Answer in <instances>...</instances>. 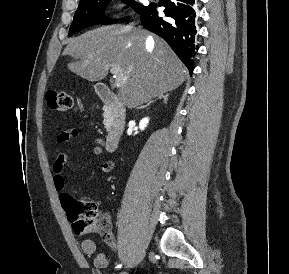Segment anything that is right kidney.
<instances>
[{"mask_svg":"<svg viewBox=\"0 0 289 274\" xmlns=\"http://www.w3.org/2000/svg\"><path fill=\"white\" fill-rule=\"evenodd\" d=\"M148 123H149V118L148 117L143 118L139 122V129L144 130Z\"/></svg>","mask_w":289,"mask_h":274,"instance_id":"1","label":"right kidney"}]
</instances>
